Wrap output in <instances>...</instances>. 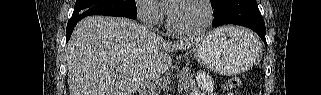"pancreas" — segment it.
Listing matches in <instances>:
<instances>
[{
	"label": "pancreas",
	"instance_id": "pancreas-1",
	"mask_svg": "<svg viewBox=\"0 0 321 95\" xmlns=\"http://www.w3.org/2000/svg\"><path fill=\"white\" fill-rule=\"evenodd\" d=\"M180 88L192 90L195 88V80L188 70H182L179 75Z\"/></svg>",
	"mask_w": 321,
	"mask_h": 95
}]
</instances>
